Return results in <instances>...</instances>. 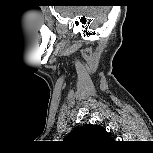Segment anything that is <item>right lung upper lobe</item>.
<instances>
[{
  "label": "right lung upper lobe",
  "mask_w": 153,
  "mask_h": 153,
  "mask_svg": "<svg viewBox=\"0 0 153 153\" xmlns=\"http://www.w3.org/2000/svg\"><path fill=\"white\" fill-rule=\"evenodd\" d=\"M65 139L82 147H93L111 140L102 126L92 124L74 128Z\"/></svg>",
  "instance_id": "right-lung-upper-lobe-1"
}]
</instances>
